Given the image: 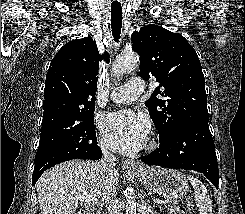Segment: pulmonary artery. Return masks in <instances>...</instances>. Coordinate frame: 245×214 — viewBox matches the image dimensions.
Returning a JSON list of instances; mask_svg holds the SVG:
<instances>
[{"instance_id": "pulmonary-artery-1", "label": "pulmonary artery", "mask_w": 245, "mask_h": 214, "mask_svg": "<svg viewBox=\"0 0 245 214\" xmlns=\"http://www.w3.org/2000/svg\"><path fill=\"white\" fill-rule=\"evenodd\" d=\"M145 86V82L141 78H132L125 85L116 88L111 93L110 98L116 103L133 101L143 93Z\"/></svg>"}]
</instances>
